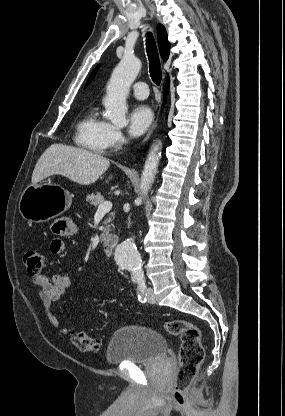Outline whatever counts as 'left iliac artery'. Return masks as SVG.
<instances>
[{
    "mask_svg": "<svg viewBox=\"0 0 285 416\" xmlns=\"http://www.w3.org/2000/svg\"><path fill=\"white\" fill-rule=\"evenodd\" d=\"M137 285H138V290H139V295H138V300L141 303L146 302V298H145V289H146V284H145V279L143 275H136L135 276Z\"/></svg>",
    "mask_w": 285,
    "mask_h": 416,
    "instance_id": "left-iliac-artery-1",
    "label": "left iliac artery"
}]
</instances>
